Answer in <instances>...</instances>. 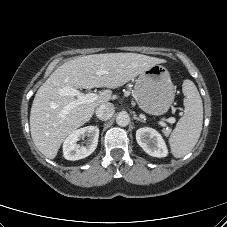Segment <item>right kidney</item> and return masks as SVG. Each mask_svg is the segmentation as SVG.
Wrapping results in <instances>:
<instances>
[{
	"mask_svg": "<svg viewBox=\"0 0 227 227\" xmlns=\"http://www.w3.org/2000/svg\"><path fill=\"white\" fill-rule=\"evenodd\" d=\"M85 140V145L78 142ZM99 137V128L96 126H87L73 131L65 139L63 144V155L67 160H79L89 156L97 147Z\"/></svg>",
	"mask_w": 227,
	"mask_h": 227,
	"instance_id": "1",
	"label": "right kidney"
}]
</instances>
